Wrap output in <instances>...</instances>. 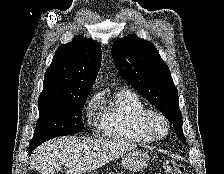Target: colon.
Wrapping results in <instances>:
<instances>
[{"label":"colon","mask_w":224,"mask_h":174,"mask_svg":"<svg viewBox=\"0 0 224 174\" xmlns=\"http://www.w3.org/2000/svg\"><path fill=\"white\" fill-rule=\"evenodd\" d=\"M164 172L165 174H183L184 168L181 164L168 160L164 163Z\"/></svg>","instance_id":"obj_1"}]
</instances>
